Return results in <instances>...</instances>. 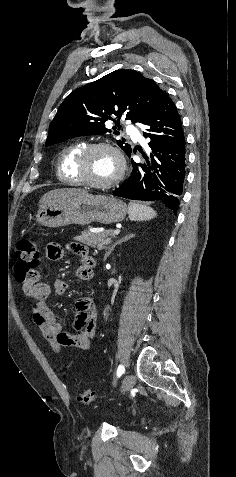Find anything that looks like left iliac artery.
<instances>
[{"label":"left iliac artery","instance_id":"left-iliac-artery-1","mask_svg":"<svg viewBox=\"0 0 236 477\" xmlns=\"http://www.w3.org/2000/svg\"><path fill=\"white\" fill-rule=\"evenodd\" d=\"M125 372V368L123 365H119L117 369V377H120Z\"/></svg>","mask_w":236,"mask_h":477}]
</instances>
